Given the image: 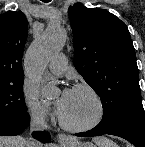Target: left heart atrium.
Returning a JSON list of instances; mask_svg holds the SVG:
<instances>
[{
	"label": "left heart atrium",
	"mask_w": 145,
	"mask_h": 147,
	"mask_svg": "<svg viewBox=\"0 0 145 147\" xmlns=\"http://www.w3.org/2000/svg\"><path fill=\"white\" fill-rule=\"evenodd\" d=\"M71 93H72L71 89H64L63 92L61 93V96L56 104V111L59 115H61L64 112L67 103L70 99Z\"/></svg>",
	"instance_id": "obj_1"
}]
</instances>
